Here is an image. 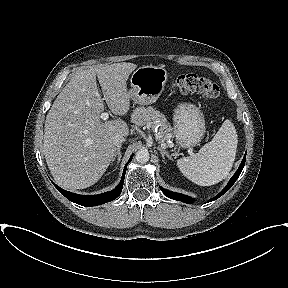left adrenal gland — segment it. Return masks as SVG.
<instances>
[{
  "label": "left adrenal gland",
  "mask_w": 288,
  "mask_h": 288,
  "mask_svg": "<svg viewBox=\"0 0 288 288\" xmlns=\"http://www.w3.org/2000/svg\"><path fill=\"white\" fill-rule=\"evenodd\" d=\"M160 151V154L162 155V158L165 159V156H167L170 160H173L174 154H169L166 150L165 147L163 146H158L157 148Z\"/></svg>",
  "instance_id": "a2214340"
}]
</instances>
